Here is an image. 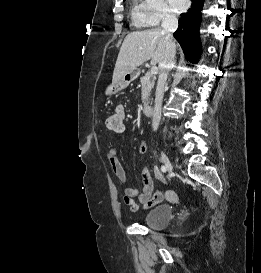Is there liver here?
I'll return each instance as SVG.
<instances>
[{
  "label": "liver",
  "instance_id": "6515ba94",
  "mask_svg": "<svg viewBox=\"0 0 261 273\" xmlns=\"http://www.w3.org/2000/svg\"><path fill=\"white\" fill-rule=\"evenodd\" d=\"M166 51V33L161 28L136 31L128 34L120 48L115 64L112 84L125 74L150 60L152 65L163 61Z\"/></svg>",
  "mask_w": 261,
  "mask_h": 273
}]
</instances>
